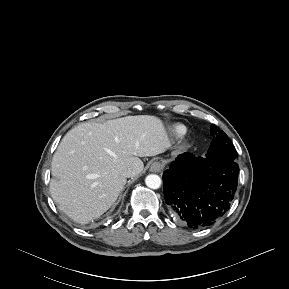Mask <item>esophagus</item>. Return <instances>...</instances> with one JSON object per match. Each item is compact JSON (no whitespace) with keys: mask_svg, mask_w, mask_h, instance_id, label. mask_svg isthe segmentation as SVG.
Listing matches in <instances>:
<instances>
[{"mask_svg":"<svg viewBox=\"0 0 289 289\" xmlns=\"http://www.w3.org/2000/svg\"><path fill=\"white\" fill-rule=\"evenodd\" d=\"M163 169V164L159 161H155L150 166V171L152 172H159Z\"/></svg>","mask_w":289,"mask_h":289,"instance_id":"esophagus-1","label":"esophagus"}]
</instances>
